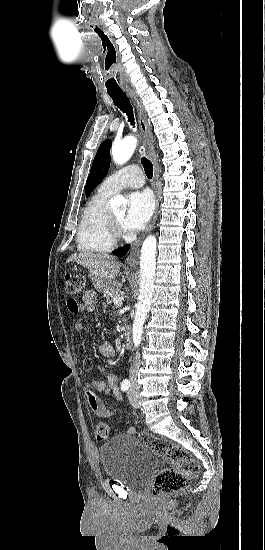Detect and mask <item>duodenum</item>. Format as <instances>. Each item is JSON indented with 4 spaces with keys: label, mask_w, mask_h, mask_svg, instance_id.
Instances as JSON below:
<instances>
[{
    "label": "duodenum",
    "mask_w": 265,
    "mask_h": 550,
    "mask_svg": "<svg viewBox=\"0 0 265 550\" xmlns=\"http://www.w3.org/2000/svg\"><path fill=\"white\" fill-rule=\"evenodd\" d=\"M124 343L128 348L132 346V333L129 329H126L124 332Z\"/></svg>",
    "instance_id": "410a0bca"
}]
</instances>
